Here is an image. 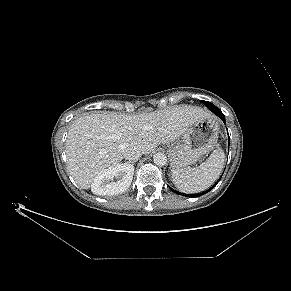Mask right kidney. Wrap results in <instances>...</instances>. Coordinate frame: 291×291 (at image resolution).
<instances>
[{
	"mask_svg": "<svg viewBox=\"0 0 291 291\" xmlns=\"http://www.w3.org/2000/svg\"><path fill=\"white\" fill-rule=\"evenodd\" d=\"M133 174L134 167L127 163L111 166L94 178L91 190L96 195H117L130 186Z\"/></svg>",
	"mask_w": 291,
	"mask_h": 291,
	"instance_id": "obj_1",
	"label": "right kidney"
}]
</instances>
